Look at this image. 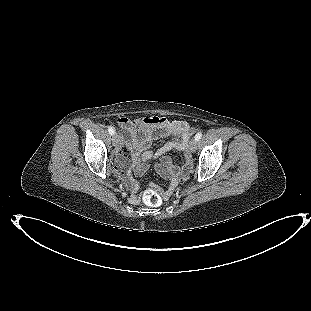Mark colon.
Instances as JSON below:
<instances>
[{"mask_svg":"<svg viewBox=\"0 0 311 311\" xmlns=\"http://www.w3.org/2000/svg\"><path fill=\"white\" fill-rule=\"evenodd\" d=\"M126 163L127 161H124L120 165V167L124 166ZM162 199L163 197H162L161 192L154 187L147 189L143 193V201L149 206H153V207L159 206L162 203Z\"/></svg>","mask_w":311,"mask_h":311,"instance_id":"colon-1","label":"colon"}]
</instances>
